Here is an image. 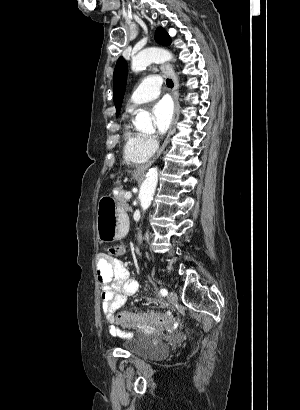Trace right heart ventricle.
Masks as SVG:
<instances>
[{
    "label": "right heart ventricle",
    "instance_id": "obj_1",
    "mask_svg": "<svg viewBox=\"0 0 300 410\" xmlns=\"http://www.w3.org/2000/svg\"><path fill=\"white\" fill-rule=\"evenodd\" d=\"M123 159L127 164L145 162L151 156L143 145V135L133 131L128 124L123 129Z\"/></svg>",
    "mask_w": 300,
    "mask_h": 410
}]
</instances>
